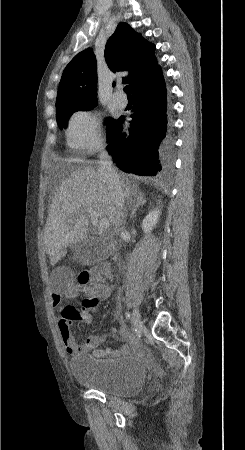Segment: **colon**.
I'll return each mask as SVG.
<instances>
[{
    "label": "colon",
    "instance_id": "colon-1",
    "mask_svg": "<svg viewBox=\"0 0 245 450\" xmlns=\"http://www.w3.org/2000/svg\"><path fill=\"white\" fill-rule=\"evenodd\" d=\"M109 268L104 264H97L91 270H84L80 272L76 277V285L79 291L85 294H91L93 292V286L95 283V275L108 273ZM96 302L91 298H86L82 304L81 308L84 310H91L93 306H95ZM62 316L65 318L64 320L69 324L73 321L79 320L81 315L79 311L75 310L72 306L67 305L61 311Z\"/></svg>",
    "mask_w": 245,
    "mask_h": 450
}]
</instances>
